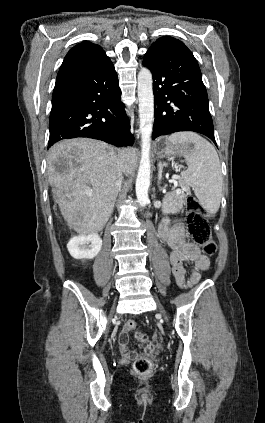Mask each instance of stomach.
Masks as SVG:
<instances>
[{
  "label": "stomach",
  "mask_w": 265,
  "mask_h": 423,
  "mask_svg": "<svg viewBox=\"0 0 265 423\" xmlns=\"http://www.w3.org/2000/svg\"><path fill=\"white\" fill-rule=\"evenodd\" d=\"M194 146L187 144L185 148L173 146L169 143L167 138L160 139L156 145V154L158 157H176L183 156L182 150L190 151L193 150Z\"/></svg>",
  "instance_id": "obj_1"
}]
</instances>
